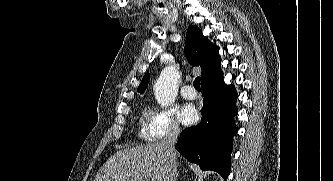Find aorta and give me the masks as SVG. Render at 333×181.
<instances>
[{
	"label": "aorta",
	"mask_w": 333,
	"mask_h": 181,
	"mask_svg": "<svg viewBox=\"0 0 333 181\" xmlns=\"http://www.w3.org/2000/svg\"><path fill=\"white\" fill-rule=\"evenodd\" d=\"M179 78L180 75L173 66H167L162 70L154 84V94L158 104L168 107L175 102Z\"/></svg>",
	"instance_id": "762f6f07"
}]
</instances>
